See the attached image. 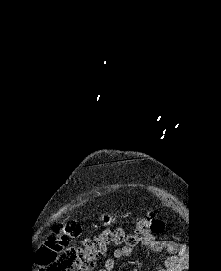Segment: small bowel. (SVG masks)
<instances>
[{
	"label": "small bowel",
	"mask_w": 221,
	"mask_h": 271,
	"mask_svg": "<svg viewBox=\"0 0 221 271\" xmlns=\"http://www.w3.org/2000/svg\"><path fill=\"white\" fill-rule=\"evenodd\" d=\"M142 249L150 250L154 252H160L163 250H166L170 252L172 255L166 260L165 266L167 268L161 269V271H174V266L177 263V256L174 253L175 251V245L174 242L167 239H149L146 241H143L141 243ZM134 250L130 246H122L118 249H116L112 256L108 257L105 262L104 266L99 269V271H114L117 261L122 257H129L133 254Z\"/></svg>",
	"instance_id": "small-bowel-1"
}]
</instances>
